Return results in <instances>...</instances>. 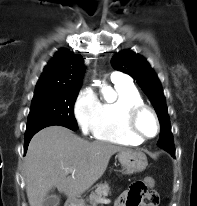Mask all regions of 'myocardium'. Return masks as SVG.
Wrapping results in <instances>:
<instances>
[{
    "label": "myocardium",
    "mask_w": 197,
    "mask_h": 206,
    "mask_svg": "<svg viewBox=\"0 0 197 206\" xmlns=\"http://www.w3.org/2000/svg\"><path fill=\"white\" fill-rule=\"evenodd\" d=\"M144 113H149L154 118V121L156 124V132L152 136L144 135L139 129L138 121H139V118ZM124 121H125V127L127 131L131 135L139 139L140 141H145V140L155 138L160 132V121H159L158 115L152 107L146 104H139V105H134V106L129 107L125 111Z\"/></svg>",
    "instance_id": "1"
}]
</instances>
